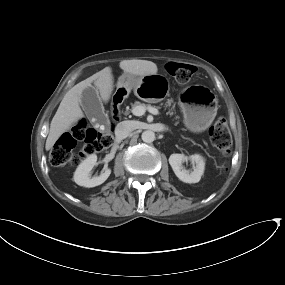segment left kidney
Wrapping results in <instances>:
<instances>
[{
	"mask_svg": "<svg viewBox=\"0 0 285 285\" xmlns=\"http://www.w3.org/2000/svg\"><path fill=\"white\" fill-rule=\"evenodd\" d=\"M187 161L193 164L194 168L192 171L186 170L183 166V163ZM169 164L175 175L185 183L199 182L205 169L204 158L199 154H194L189 157L184 154H172L169 157Z\"/></svg>",
	"mask_w": 285,
	"mask_h": 285,
	"instance_id": "5707ae66",
	"label": "left kidney"
}]
</instances>
